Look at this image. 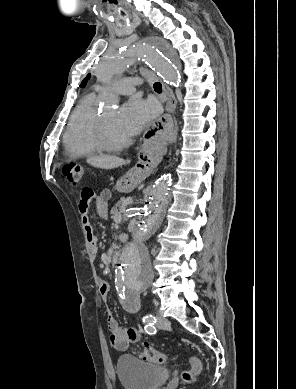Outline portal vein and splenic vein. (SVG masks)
<instances>
[{
	"label": "portal vein and splenic vein",
	"mask_w": 296,
	"mask_h": 389,
	"mask_svg": "<svg viewBox=\"0 0 296 389\" xmlns=\"http://www.w3.org/2000/svg\"><path fill=\"white\" fill-rule=\"evenodd\" d=\"M114 220H115V221H121V214H117V215L114 217Z\"/></svg>",
	"instance_id": "1"
}]
</instances>
